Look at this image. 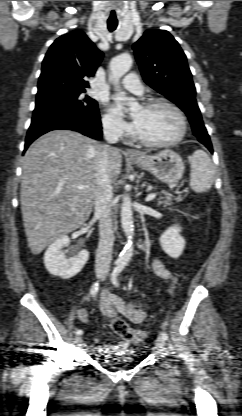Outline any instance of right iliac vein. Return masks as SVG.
<instances>
[{"label": "right iliac vein", "instance_id": "right-iliac-vein-1", "mask_svg": "<svg viewBox=\"0 0 242 416\" xmlns=\"http://www.w3.org/2000/svg\"><path fill=\"white\" fill-rule=\"evenodd\" d=\"M102 272H103V270H102V269H98V270H97V274H98V275H101V274H102ZM75 343H76L77 345H80V344L82 343V338H81V336H76V337H75Z\"/></svg>", "mask_w": 242, "mask_h": 416}]
</instances>
